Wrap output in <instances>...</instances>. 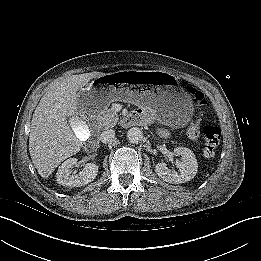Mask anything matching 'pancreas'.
<instances>
[{
    "mask_svg": "<svg viewBox=\"0 0 261 261\" xmlns=\"http://www.w3.org/2000/svg\"><path fill=\"white\" fill-rule=\"evenodd\" d=\"M118 120V114L114 112L112 109L106 108L105 110H102L100 113L98 128H112L117 124Z\"/></svg>",
    "mask_w": 261,
    "mask_h": 261,
    "instance_id": "pancreas-1",
    "label": "pancreas"
}]
</instances>
